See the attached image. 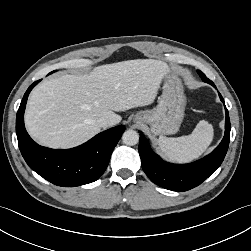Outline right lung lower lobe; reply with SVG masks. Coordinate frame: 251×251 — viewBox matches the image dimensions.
Listing matches in <instances>:
<instances>
[{
	"label": "right lung lower lobe",
	"instance_id": "right-lung-lower-lobe-1",
	"mask_svg": "<svg viewBox=\"0 0 251 251\" xmlns=\"http://www.w3.org/2000/svg\"><path fill=\"white\" fill-rule=\"evenodd\" d=\"M39 81L27 89L17 112L16 134L23 158L32 170L58 186L74 187L96 181L107 168L125 127L108 129L72 149L55 150L38 145L25 129L24 111L29 93Z\"/></svg>",
	"mask_w": 251,
	"mask_h": 251
}]
</instances>
